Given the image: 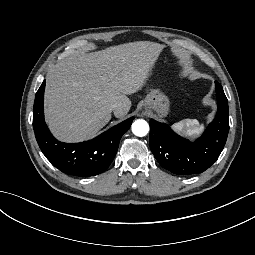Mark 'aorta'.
<instances>
[{
  "label": "aorta",
  "instance_id": "1",
  "mask_svg": "<svg viewBox=\"0 0 255 255\" xmlns=\"http://www.w3.org/2000/svg\"><path fill=\"white\" fill-rule=\"evenodd\" d=\"M132 132L136 136L143 137L149 132V125L145 120L138 119L132 124Z\"/></svg>",
  "mask_w": 255,
  "mask_h": 255
}]
</instances>
